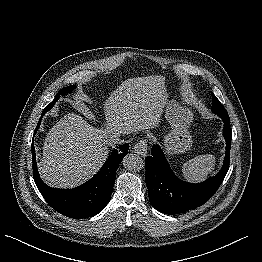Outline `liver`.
Segmentation results:
<instances>
[{"mask_svg": "<svg viewBox=\"0 0 262 262\" xmlns=\"http://www.w3.org/2000/svg\"><path fill=\"white\" fill-rule=\"evenodd\" d=\"M163 76L130 78L104 102L106 129L71 113L49 131L38 163L41 178L52 187L72 188L91 178L108 156L107 138L155 127L167 101Z\"/></svg>", "mask_w": 262, "mask_h": 262, "instance_id": "6515ba94", "label": "liver"}]
</instances>
